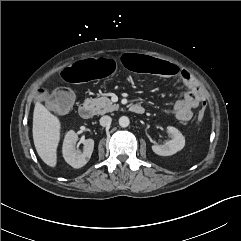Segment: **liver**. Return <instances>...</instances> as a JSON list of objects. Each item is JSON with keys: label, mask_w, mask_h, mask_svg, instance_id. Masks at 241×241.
<instances>
[{"label": "liver", "mask_w": 241, "mask_h": 241, "mask_svg": "<svg viewBox=\"0 0 241 241\" xmlns=\"http://www.w3.org/2000/svg\"><path fill=\"white\" fill-rule=\"evenodd\" d=\"M61 123L44 105L37 102L33 113V141L42 161L54 168L57 164V146Z\"/></svg>", "instance_id": "obj_1"}]
</instances>
